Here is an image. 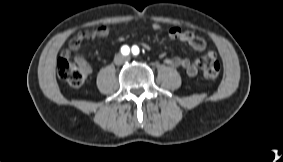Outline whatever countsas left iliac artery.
Wrapping results in <instances>:
<instances>
[{
	"instance_id": "1",
	"label": "left iliac artery",
	"mask_w": 283,
	"mask_h": 162,
	"mask_svg": "<svg viewBox=\"0 0 283 162\" xmlns=\"http://www.w3.org/2000/svg\"><path fill=\"white\" fill-rule=\"evenodd\" d=\"M132 53H133L134 55H137V54L139 53V48H138L137 46H133V47H132Z\"/></svg>"
}]
</instances>
